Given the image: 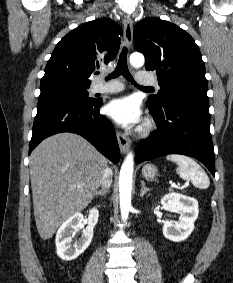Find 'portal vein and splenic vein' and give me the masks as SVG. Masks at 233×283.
<instances>
[{
  "label": "portal vein and splenic vein",
  "mask_w": 233,
  "mask_h": 283,
  "mask_svg": "<svg viewBox=\"0 0 233 283\" xmlns=\"http://www.w3.org/2000/svg\"><path fill=\"white\" fill-rule=\"evenodd\" d=\"M78 188H81V186L80 185H78L77 186ZM178 187V185L177 184H175V183H171V188H177Z\"/></svg>",
  "instance_id": "1"
}]
</instances>
